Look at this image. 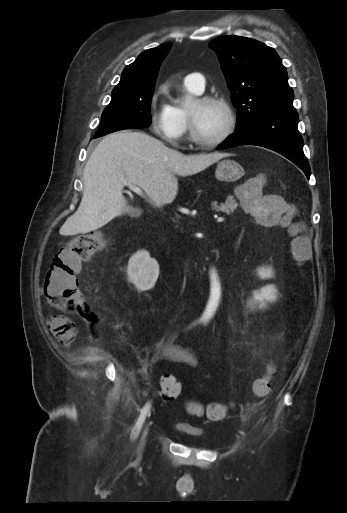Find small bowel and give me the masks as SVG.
<instances>
[{"instance_id": "c3829d8e", "label": "small bowel", "mask_w": 347, "mask_h": 513, "mask_svg": "<svg viewBox=\"0 0 347 513\" xmlns=\"http://www.w3.org/2000/svg\"><path fill=\"white\" fill-rule=\"evenodd\" d=\"M48 327L61 347H69L76 337L75 325L64 316H51L48 318ZM173 335L165 342L156 346L153 357L165 358L168 361L194 367L198 361L196 356L188 349L176 346L172 342Z\"/></svg>"}]
</instances>
